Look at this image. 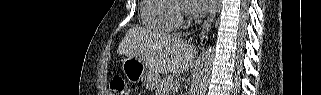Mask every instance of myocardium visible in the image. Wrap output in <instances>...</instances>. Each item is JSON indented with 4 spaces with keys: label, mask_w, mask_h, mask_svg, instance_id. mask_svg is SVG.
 Here are the masks:
<instances>
[{
    "label": "myocardium",
    "mask_w": 321,
    "mask_h": 95,
    "mask_svg": "<svg viewBox=\"0 0 321 95\" xmlns=\"http://www.w3.org/2000/svg\"><path fill=\"white\" fill-rule=\"evenodd\" d=\"M176 22H178L179 24L182 23V18L180 16L176 17Z\"/></svg>",
    "instance_id": "f54148a6"
}]
</instances>
